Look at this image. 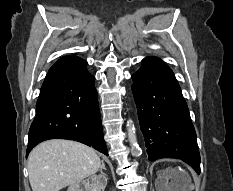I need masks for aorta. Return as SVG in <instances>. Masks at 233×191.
Segmentation results:
<instances>
[{
	"label": "aorta",
	"mask_w": 233,
	"mask_h": 191,
	"mask_svg": "<svg viewBox=\"0 0 233 191\" xmlns=\"http://www.w3.org/2000/svg\"><path fill=\"white\" fill-rule=\"evenodd\" d=\"M132 122H128V139L131 144V151L132 154L138 156L140 154V149L136 142V134L134 125L131 124Z\"/></svg>",
	"instance_id": "aorta-1"
}]
</instances>
